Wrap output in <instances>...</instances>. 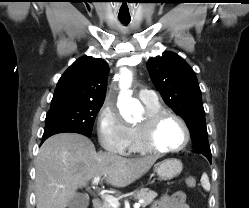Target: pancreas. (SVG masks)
Here are the masks:
<instances>
[{"label": "pancreas", "mask_w": 249, "mask_h": 208, "mask_svg": "<svg viewBox=\"0 0 249 208\" xmlns=\"http://www.w3.org/2000/svg\"><path fill=\"white\" fill-rule=\"evenodd\" d=\"M136 199H142L141 203L142 208H145L147 205L153 202V200L157 197V193L149 190L148 188H143L140 191H137L134 195ZM100 208H113L108 202H103Z\"/></svg>", "instance_id": "pancreas-1"}]
</instances>
